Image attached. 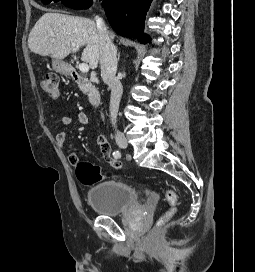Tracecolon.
<instances>
[{"label": "colon", "mask_w": 255, "mask_h": 272, "mask_svg": "<svg viewBox=\"0 0 255 272\" xmlns=\"http://www.w3.org/2000/svg\"><path fill=\"white\" fill-rule=\"evenodd\" d=\"M58 80L59 78L56 73H47L41 80V88L50 98L55 99L58 97ZM76 176L84 185H92L102 178V172L100 167L84 161L78 163L76 167ZM118 177L122 176L118 175ZM163 193L166 209L157 220V226L166 224L174 216L178 203V196L175 190L164 188Z\"/></svg>", "instance_id": "colon-1"}]
</instances>
